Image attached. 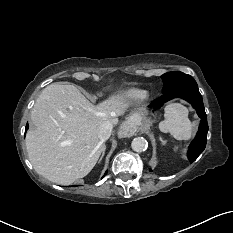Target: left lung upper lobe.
Returning a JSON list of instances; mask_svg holds the SVG:
<instances>
[{"label":"left lung upper lobe","instance_id":"obj_1","mask_svg":"<svg viewBox=\"0 0 233 233\" xmlns=\"http://www.w3.org/2000/svg\"><path fill=\"white\" fill-rule=\"evenodd\" d=\"M161 78L164 83L163 94L182 85L197 84L192 76L179 71L168 72L162 75Z\"/></svg>","mask_w":233,"mask_h":233}]
</instances>
